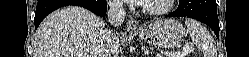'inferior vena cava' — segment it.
<instances>
[{"instance_id":"inferior-vena-cava-1","label":"inferior vena cava","mask_w":249,"mask_h":57,"mask_svg":"<svg viewBox=\"0 0 249 57\" xmlns=\"http://www.w3.org/2000/svg\"><path fill=\"white\" fill-rule=\"evenodd\" d=\"M125 10L123 8V3L120 0H111L108 2L107 18L111 25L114 27H120L125 19ZM103 47L108 52L112 54L118 52V40L117 37L112 33V31L106 30L102 36ZM116 56V55H105Z\"/></svg>"}]
</instances>
